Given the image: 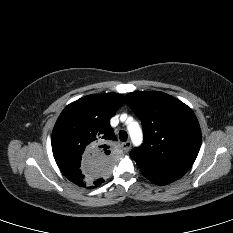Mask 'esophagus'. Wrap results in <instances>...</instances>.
Returning <instances> with one entry per match:
<instances>
[{
    "instance_id": "obj_1",
    "label": "esophagus",
    "mask_w": 233,
    "mask_h": 233,
    "mask_svg": "<svg viewBox=\"0 0 233 233\" xmlns=\"http://www.w3.org/2000/svg\"><path fill=\"white\" fill-rule=\"evenodd\" d=\"M122 148L125 152H128L131 148V142L126 141V142L122 143Z\"/></svg>"
}]
</instances>
